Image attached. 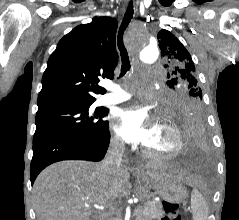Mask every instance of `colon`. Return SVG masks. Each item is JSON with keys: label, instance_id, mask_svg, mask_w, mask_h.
Listing matches in <instances>:
<instances>
[{"label": "colon", "instance_id": "colon-1", "mask_svg": "<svg viewBox=\"0 0 239 220\" xmlns=\"http://www.w3.org/2000/svg\"><path fill=\"white\" fill-rule=\"evenodd\" d=\"M163 209L165 211V216L162 220H180L178 215V205L176 203L163 201Z\"/></svg>", "mask_w": 239, "mask_h": 220}]
</instances>
